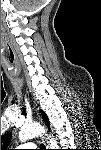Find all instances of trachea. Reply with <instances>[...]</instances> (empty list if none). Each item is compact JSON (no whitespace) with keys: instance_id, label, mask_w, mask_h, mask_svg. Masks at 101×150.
I'll list each match as a JSON object with an SVG mask.
<instances>
[{"instance_id":"obj_1","label":"trachea","mask_w":101,"mask_h":150,"mask_svg":"<svg viewBox=\"0 0 101 150\" xmlns=\"http://www.w3.org/2000/svg\"><path fill=\"white\" fill-rule=\"evenodd\" d=\"M41 148H43L45 150V146L43 144H41Z\"/></svg>"}]
</instances>
